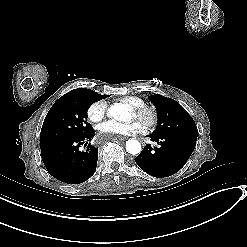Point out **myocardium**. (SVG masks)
Here are the masks:
<instances>
[{"mask_svg":"<svg viewBox=\"0 0 247 247\" xmlns=\"http://www.w3.org/2000/svg\"><path fill=\"white\" fill-rule=\"evenodd\" d=\"M132 110L140 120H145L143 132L145 134L153 133L158 125L159 120L157 109L153 106L142 105L139 108H132ZM145 116H147L146 119L144 118Z\"/></svg>","mask_w":247,"mask_h":247,"instance_id":"f54148a6","label":"myocardium"}]
</instances>
